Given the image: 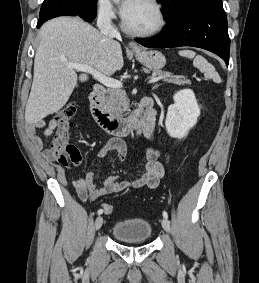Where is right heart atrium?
I'll return each mask as SVG.
<instances>
[{
  "label": "right heart atrium",
  "mask_w": 259,
  "mask_h": 283,
  "mask_svg": "<svg viewBox=\"0 0 259 283\" xmlns=\"http://www.w3.org/2000/svg\"><path fill=\"white\" fill-rule=\"evenodd\" d=\"M96 12L104 20H111L115 16V9L110 0H97Z\"/></svg>",
  "instance_id": "1"
}]
</instances>
